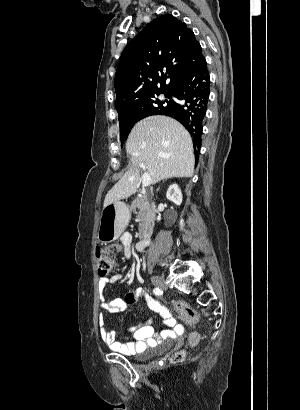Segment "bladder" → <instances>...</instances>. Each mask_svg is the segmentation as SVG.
I'll return each mask as SVG.
<instances>
[{
    "label": "bladder",
    "mask_w": 300,
    "mask_h": 410,
    "mask_svg": "<svg viewBox=\"0 0 300 410\" xmlns=\"http://www.w3.org/2000/svg\"><path fill=\"white\" fill-rule=\"evenodd\" d=\"M170 342H171V341H166L165 347H167ZM152 353H153V350L146 351V352H143V353L137 355L136 358H137L138 360H145V359L150 358L151 355H152Z\"/></svg>",
    "instance_id": "obj_1"
}]
</instances>
